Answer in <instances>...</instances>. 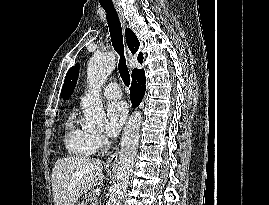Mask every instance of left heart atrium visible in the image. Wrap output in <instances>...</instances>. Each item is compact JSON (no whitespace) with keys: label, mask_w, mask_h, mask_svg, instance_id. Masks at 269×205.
<instances>
[{"label":"left heart atrium","mask_w":269,"mask_h":205,"mask_svg":"<svg viewBox=\"0 0 269 205\" xmlns=\"http://www.w3.org/2000/svg\"><path fill=\"white\" fill-rule=\"evenodd\" d=\"M128 115V106L124 101H114L107 108L105 131L110 137H115L121 131Z\"/></svg>","instance_id":"left-heart-atrium-1"}]
</instances>
